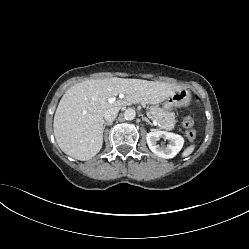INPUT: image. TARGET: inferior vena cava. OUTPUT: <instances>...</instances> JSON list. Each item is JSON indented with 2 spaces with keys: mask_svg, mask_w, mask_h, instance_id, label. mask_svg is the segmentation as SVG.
I'll return each mask as SVG.
<instances>
[{
  "mask_svg": "<svg viewBox=\"0 0 249 249\" xmlns=\"http://www.w3.org/2000/svg\"><path fill=\"white\" fill-rule=\"evenodd\" d=\"M118 109H110L104 113V119L107 122H113L118 114Z\"/></svg>",
  "mask_w": 249,
  "mask_h": 249,
  "instance_id": "602c4592",
  "label": "inferior vena cava"
}]
</instances>
